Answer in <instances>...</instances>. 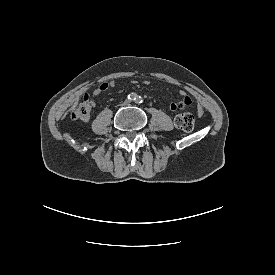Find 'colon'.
Wrapping results in <instances>:
<instances>
[{
	"label": "colon",
	"instance_id": "5ec220e1",
	"mask_svg": "<svg viewBox=\"0 0 275 275\" xmlns=\"http://www.w3.org/2000/svg\"><path fill=\"white\" fill-rule=\"evenodd\" d=\"M113 86V83H110ZM91 111L90 96L84 95L81 102L70 111V118L72 120H85L89 117ZM175 125L185 132L193 130L195 125V117L192 113H182L175 118Z\"/></svg>",
	"mask_w": 275,
	"mask_h": 275
}]
</instances>
